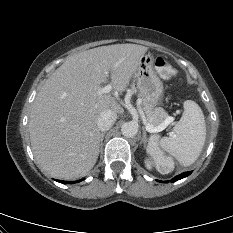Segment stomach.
I'll list each match as a JSON object with an SVG mask.
<instances>
[{"instance_id": "1", "label": "stomach", "mask_w": 233, "mask_h": 233, "mask_svg": "<svg viewBox=\"0 0 233 233\" xmlns=\"http://www.w3.org/2000/svg\"><path fill=\"white\" fill-rule=\"evenodd\" d=\"M135 82L141 97L153 108L158 105L163 95V82L153 68L151 54L144 55L141 58L140 66L135 73Z\"/></svg>"}]
</instances>
